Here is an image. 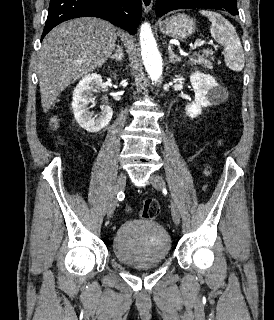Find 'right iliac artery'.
I'll use <instances>...</instances> for the list:
<instances>
[{
    "mask_svg": "<svg viewBox=\"0 0 274 320\" xmlns=\"http://www.w3.org/2000/svg\"><path fill=\"white\" fill-rule=\"evenodd\" d=\"M117 199L118 200H123L124 199V193L122 191H120L118 194H117Z\"/></svg>",
    "mask_w": 274,
    "mask_h": 320,
    "instance_id": "1",
    "label": "right iliac artery"
}]
</instances>
